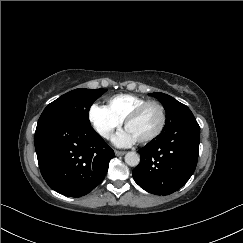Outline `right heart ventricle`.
I'll use <instances>...</instances> for the list:
<instances>
[{"label": "right heart ventricle", "mask_w": 243, "mask_h": 243, "mask_svg": "<svg viewBox=\"0 0 243 243\" xmlns=\"http://www.w3.org/2000/svg\"><path fill=\"white\" fill-rule=\"evenodd\" d=\"M148 100L132 94H119L108 100L109 110L122 121L138 106Z\"/></svg>", "instance_id": "e07e8e85"}]
</instances>
